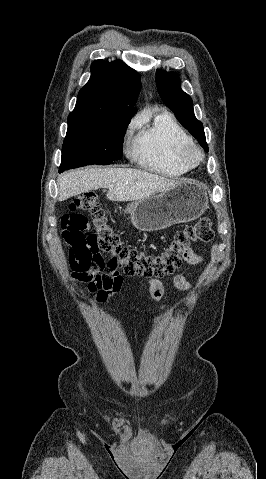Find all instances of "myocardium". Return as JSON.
Listing matches in <instances>:
<instances>
[{"label": "myocardium", "instance_id": "obj_1", "mask_svg": "<svg viewBox=\"0 0 266 479\" xmlns=\"http://www.w3.org/2000/svg\"><path fill=\"white\" fill-rule=\"evenodd\" d=\"M180 158L190 166L196 167L203 161L204 155L201 149L192 143L180 150Z\"/></svg>", "mask_w": 266, "mask_h": 479}]
</instances>
